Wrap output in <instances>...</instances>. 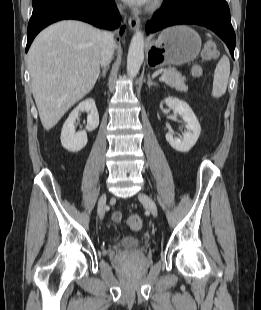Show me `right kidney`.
I'll use <instances>...</instances> for the list:
<instances>
[{
	"label": "right kidney",
	"instance_id": "ca27d5eb",
	"mask_svg": "<svg viewBox=\"0 0 261 310\" xmlns=\"http://www.w3.org/2000/svg\"><path fill=\"white\" fill-rule=\"evenodd\" d=\"M87 112V131H94L99 125V114L95 101L91 98L82 101L69 115L61 131V144L70 152H78L87 144L86 131L75 132V122L81 112Z\"/></svg>",
	"mask_w": 261,
	"mask_h": 310
}]
</instances>
